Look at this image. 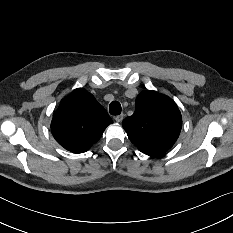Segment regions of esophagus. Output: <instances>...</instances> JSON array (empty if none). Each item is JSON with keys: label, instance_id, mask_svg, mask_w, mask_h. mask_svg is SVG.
Here are the masks:
<instances>
[{"label": "esophagus", "instance_id": "1", "mask_svg": "<svg viewBox=\"0 0 233 233\" xmlns=\"http://www.w3.org/2000/svg\"><path fill=\"white\" fill-rule=\"evenodd\" d=\"M123 118H124V114H120V115H117V116L115 117V120H116L117 122H121V121L123 120Z\"/></svg>", "mask_w": 233, "mask_h": 233}]
</instances>
